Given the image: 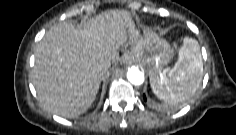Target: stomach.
<instances>
[{"mask_svg": "<svg viewBox=\"0 0 236 135\" xmlns=\"http://www.w3.org/2000/svg\"><path fill=\"white\" fill-rule=\"evenodd\" d=\"M132 53L138 61L148 66L150 77L161 72L172 56L169 43L155 33L147 34L141 49Z\"/></svg>", "mask_w": 236, "mask_h": 135, "instance_id": "1", "label": "stomach"}]
</instances>
